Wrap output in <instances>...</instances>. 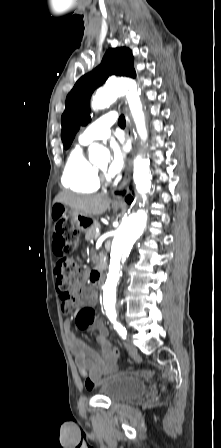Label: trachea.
<instances>
[{"label":"trachea","instance_id":"1","mask_svg":"<svg viewBox=\"0 0 221 448\" xmlns=\"http://www.w3.org/2000/svg\"><path fill=\"white\" fill-rule=\"evenodd\" d=\"M118 124H119L120 126H125V125H126V121H125V117H124V115H121V116L119 117V119H118Z\"/></svg>","mask_w":221,"mask_h":448}]
</instances>
